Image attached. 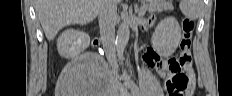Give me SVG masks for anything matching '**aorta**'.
Returning a JSON list of instances; mask_svg holds the SVG:
<instances>
[{"mask_svg": "<svg viewBox=\"0 0 232 96\" xmlns=\"http://www.w3.org/2000/svg\"><path fill=\"white\" fill-rule=\"evenodd\" d=\"M130 36L129 24L124 21L117 31L116 51L119 59H122L124 50L127 46Z\"/></svg>", "mask_w": 232, "mask_h": 96, "instance_id": "1", "label": "aorta"}]
</instances>
